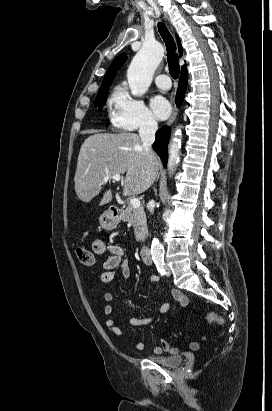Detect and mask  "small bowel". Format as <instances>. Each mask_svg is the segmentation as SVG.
Returning a JSON list of instances; mask_svg holds the SVG:
<instances>
[{"mask_svg": "<svg viewBox=\"0 0 272 411\" xmlns=\"http://www.w3.org/2000/svg\"><path fill=\"white\" fill-rule=\"evenodd\" d=\"M93 250L97 254H105L109 253L108 258L103 263V273L101 274V286L104 288L105 286L111 284L115 278V269H119L122 278L127 279L131 274V266L130 263L125 255L124 249L118 244L107 243L102 239H96L93 242ZM150 281L152 283H158L160 279L157 276H151ZM170 296L178 302L182 307L186 308L189 305V300L186 296H184L180 291L176 289H172L169 292ZM103 298L106 302L104 306L103 313L105 316L104 324L110 330V332L117 336V337H124V332L122 329L116 325L115 321L112 318L113 313V301L114 295L111 292H104ZM170 309V303L165 302L161 305L159 311L156 314L138 318L131 316L128 319V322L132 326H143L151 324L156 318L161 315L165 314ZM201 341H192L189 345L190 349L195 351L198 350L200 347ZM136 349L137 350H144L145 343L143 341L136 342ZM155 354H161L163 352H167L170 354H177L178 349L176 347L171 346L166 340L162 339L160 345H157L153 348Z\"/></svg>", "mask_w": 272, "mask_h": 411, "instance_id": "c3829d8e", "label": "small bowel"}]
</instances>
